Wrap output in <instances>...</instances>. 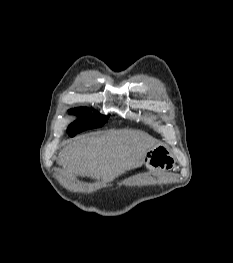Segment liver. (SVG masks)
I'll return each instance as SVG.
<instances>
[{"label":"liver","mask_w":233,"mask_h":263,"mask_svg":"<svg viewBox=\"0 0 233 263\" xmlns=\"http://www.w3.org/2000/svg\"><path fill=\"white\" fill-rule=\"evenodd\" d=\"M155 140L138 130L93 133L70 142L59 153V164L70 177L79 175L109 182L144 164Z\"/></svg>","instance_id":"1"}]
</instances>
